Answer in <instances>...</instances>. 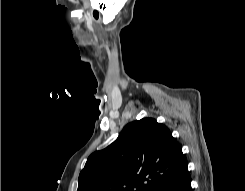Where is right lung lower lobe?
<instances>
[{"label": "right lung lower lobe", "instance_id": "1", "mask_svg": "<svg viewBox=\"0 0 245 191\" xmlns=\"http://www.w3.org/2000/svg\"><path fill=\"white\" fill-rule=\"evenodd\" d=\"M156 191H192L188 168L174 178L164 182Z\"/></svg>", "mask_w": 245, "mask_h": 191}]
</instances>
